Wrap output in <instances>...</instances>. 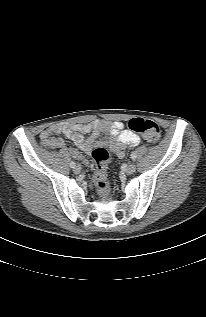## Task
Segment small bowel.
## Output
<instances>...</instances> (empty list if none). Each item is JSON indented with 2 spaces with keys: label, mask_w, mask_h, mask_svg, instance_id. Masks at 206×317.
<instances>
[{
  "label": "small bowel",
  "mask_w": 206,
  "mask_h": 317,
  "mask_svg": "<svg viewBox=\"0 0 206 317\" xmlns=\"http://www.w3.org/2000/svg\"><path fill=\"white\" fill-rule=\"evenodd\" d=\"M59 134L70 139L86 153H91L96 147L106 146L119 158L124 157V149L127 146L134 147L140 143V137L130 130H124L121 122L100 119L86 124L49 127L41 132V142L50 149L62 148L64 147L63 139L56 137ZM88 134V137L84 136ZM101 134L105 135L103 139H99ZM69 152L75 159H82L81 153L76 149H70Z\"/></svg>",
  "instance_id": "c3829d8e"
}]
</instances>
